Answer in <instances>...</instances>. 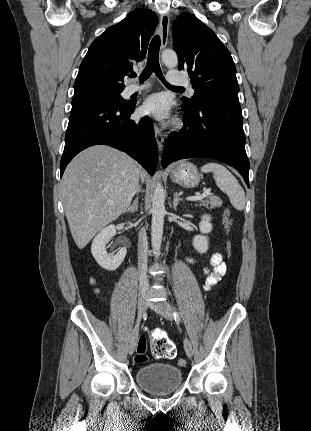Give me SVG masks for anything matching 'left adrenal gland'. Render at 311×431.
<instances>
[{
  "mask_svg": "<svg viewBox=\"0 0 311 431\" xmlns=\"http://www.w3.org/2000/svg\"><path fill=\"white\" fill-rule=\"evenodd\" d=\"M173 196H174L173 208H174V210H177V206H178L180 200H182V198H179L177 192H175V194H173Z\"/></svg>",
  "mask_w": 311,
  "mask_h": 431,
  "instance_id": "a2214340",
  "label": "left adrenal gland"
}]
</instances>
